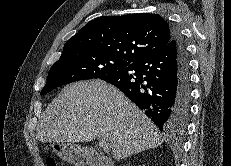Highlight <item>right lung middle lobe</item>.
I'll use <instances>...</instances> for the list:
<instances>
[{
	"instance_id": "dd1d6c3e",
	"label": "right lung middle lobe",
	"mask_w": 231,
	"mask_h": 166,
	"mask_svg": "<svg viewBox=\"0 0 231 166\" xmlns=\"http://www.w3.org/2000/svg\"><path fill=\"white\" fill-rule=\"evenodd\" d=\"M131 63L98 52H77L61 56L49 70L46 85L40 95L75 81L101 78Z\"/></svg>"
}]
</instances>
